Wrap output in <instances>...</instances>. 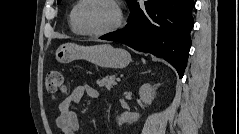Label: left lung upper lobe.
I'll return each mask as SVG.
<instances>
[{"label":"left lung upper lobe","mask_w":239,"mask_h":134,"mask_svg":"<svg viewBox=\"0 0 239 134\" xmlns=\"http://www.w3.org/2000/svg\"><path fill=\"white\" fill-rule=\"evenodd\" d=\"M134 1H135V0H127L129 6H131V4H132ZM60 2H61V0H58V3H60Z\"/></svg>","instance_id":"left-lung-upper-lobe-1"}]
</instances>
